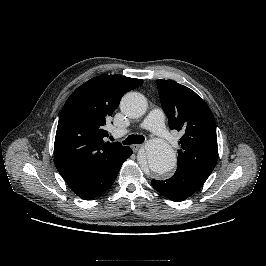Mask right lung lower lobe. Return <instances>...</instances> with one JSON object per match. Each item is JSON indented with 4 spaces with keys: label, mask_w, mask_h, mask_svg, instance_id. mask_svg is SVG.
Masks as SVG:
<instances>
[{
    "label": "right lung lower lobe",
    "mask_w": 266,
    "mask_h": 266,
    "mask_svg": "<svg viewBox=\"0 0 266 266\" xmlns=\"http://www.w3.org/2000/svg\"><path fill=\"white\" fill-rule=\"evenodd\" d=\"M132 149L127 147L118 157L83 171L63 177L70 189L84 200H91L106 192L115 181L123 162L130 157Z\"/></svg>",
    "instance_id": "obj_1"
}]
</instances>
